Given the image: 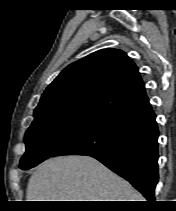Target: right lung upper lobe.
Returning a JSON list of instances; mask_svg holds the SVG:
<instances>
[{"instance_id":"cb5924a9","label":"right lung upper lobe","mask_w":176,"mask_h":211,"mask_svg":"<svg viewBox=\"0 0 176 211\" xmlns=\"http://www.w3.org/2000/svg\"><path fill=\"white\" fill-rule=\"evenodd\" d=\"M148 102L135 63L121 50L103 49L67 66L46 88L34 115L60 111L102 120Z\"/></svg>"}]
</instances>
